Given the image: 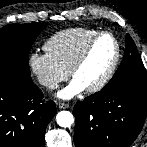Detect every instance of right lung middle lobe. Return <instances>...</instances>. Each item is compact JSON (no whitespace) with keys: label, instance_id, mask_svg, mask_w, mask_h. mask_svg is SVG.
Wrapping results in <instances>:
<instances>
[{"label":"right lung middle lobe","instance_id":"obj_1","mask_svg":"<svg viewBox=\"0 0 147 147\" xmlns=\"http://www.w3.org/2000/svg\"><path fill=\"white\" fill-rule=\"evenodd\" d=\"M46 23L11 24L0 29V70L30 78L28 56Z\"/></svg>","mask_w":147,"mask_h":147}]
</instances>
